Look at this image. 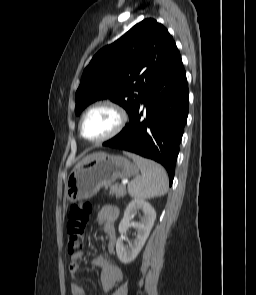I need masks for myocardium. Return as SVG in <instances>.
<instances>
[{
    "label": "myocardium",
    "mask_w": 256,
    "mask_h": 295,
    "mask_svg": "<svg viewBox=\"0 0 256 295\" xmlns=\"http://www.w3.org/2000/svg\"><path fill=\"white\" fill-rule=\"evenodd\" d=\"M100 107H107V108L113 110L117 116V123H116L114 129L110 133H108L107 135H105L99 139L91 140V139L86 138L83 134V123H84L85 118L87 117V115L90 112H92L93 110L100 108ZM126 121H127V114L121 106H119L114 101H111L108 99L100 100V101L92 104L82 114L80 122H79V133L85 141L92 143V144H100V143L108 141V140L114 138L116 135H118L121 132V130L123 129V127L125 126Z\"/></svg>",
    "instance_id": "1"
}]
</instances>
